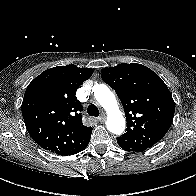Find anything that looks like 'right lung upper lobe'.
<instances>
[{
    "label": "right lung upper lobe",
    "instance_id": "right-lung-upper-lobe-1",
    "mask_svg": "<svg viewBox=\"0 0 196 196\" xmlns=\"http://www.w3.org/2000/svg\"><path fill=\"white\" fill-rule=\"evenodd\" d=\"M92 73L76 65L57 66L28 85L22 115L30 136L42 148L68 155L90 140L92 127L82 124V106L75 95Z\"/></svg>",
    "mask_w": 196,
    "mask_h": 196
}]
</instances>
